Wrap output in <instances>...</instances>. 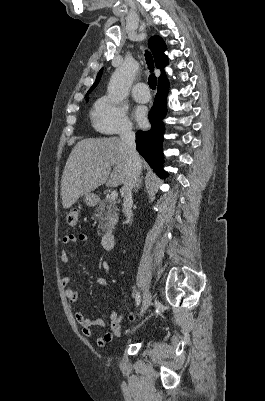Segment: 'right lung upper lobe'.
Wrapping results in <instances>:
<instances>
[{"mask_svg": "<svg viewBox=\"0 0 265 401\" xmlns=\"http://www.w3.org/2000/svg\"><path fill=\"white\" fill-rule=\"evenodd\" d=\"M149 47L154 55L156 67L161 70V75L159 76L158 85H169L168 79L166 77L164 67L168 64L167 56L164 54L166 50V45L162 38L159 36H153L149 40ZM103 69H101L97 75L96 81L93 86L88 91L87 95L97 86L100 77L102 75Z\"/></svg>", "mask_w": 265, "mask_h": 401, "instance_id": "obj_1", "label": "right lung upper lobe"}]
</instances>
